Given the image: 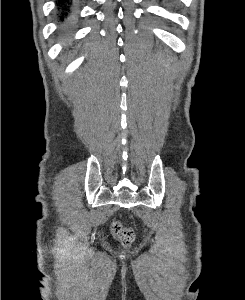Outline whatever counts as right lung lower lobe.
<instances>
[{"instance_id":"obj_1","label":"right lung lower lobe","mask_w":245,"mask_h":300,"mask_svg":"<svg viewBox=\"0 0 245 300\" xmlns=\"http://www.w3.org/2000/svg\"><path fill=\"white\" fill-rule=\"evenodd\" d=\"M59 19L61 22L71 23L73 14V0H58Z\"/></svg>"}]
</instances>
